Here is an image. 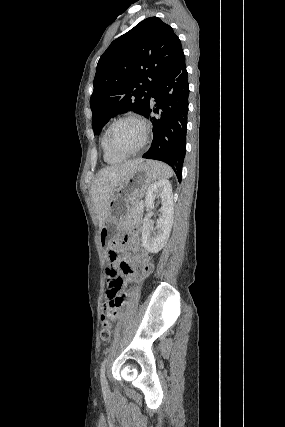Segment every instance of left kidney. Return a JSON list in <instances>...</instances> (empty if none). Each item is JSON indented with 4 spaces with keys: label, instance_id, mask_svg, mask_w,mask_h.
Listing matches in <instances>:
<instances>
[{
    "label": "left kidney",
    "instance_id": "obj_1",
    "mask_svg": "<svg viewBox=\"0 0 285 427\" xmlns=\"http://www.w3.org/2000/svg\"><path fill=\"white\" fill-rule=\"evenodd\" d=\"M159 197L161 198V208L156 229L153 230L147 217L143 220L142 244L150 253H157L164 247L173 224V193L168 180H160L148 188L144 202L146 208L152 209L154 200Z\"/></svg>",
    "mask_w": 285,
    "mask_h": 427
}]
</instances>
